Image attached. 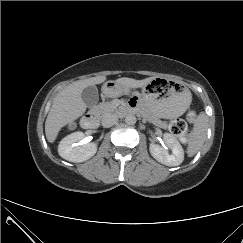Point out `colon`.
Here are the masks:
<instances>
[{
  "instance_id": "colon-1",
  "label": "colon",
  "mask_w": 243,
  "mask_h": 243,
  "mask_svg": "<svg viewBox=\"0 0 243 243\" xmlns=\"http://www.w3.org/2000/svg\"><path fill=\"white\" fill-rule=\"evenodd\" d=\"M195 119V113L189 112L186 119H175L170 124V131L182 141L187 142L191 136L189 124Z\"/></svg>"
}]
</instances>
